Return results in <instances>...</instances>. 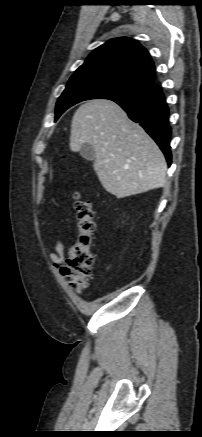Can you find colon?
<instances>
[{
    "mask_svg": "<svg viewBox=\"0 0 202 437\" xmlns=\"http://www.w3.org/2000/svg\"><path fill=\"white\" fill-rule=\"evenodd\" d=\"M73 197L77 218V237L70 244L60 270L66 284L73 290L81 292L88 285L95 261L92 252L95 222L91 202L79 191L74 192Z\"/></svg>",
    "mask_w": 202,
    "mask_h": 437,
    "instance_id": "obj_1",
    "label": "colon"
}]
</instances>
